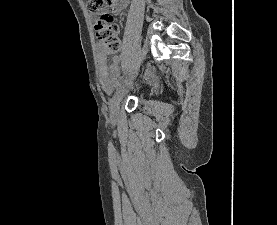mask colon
Masks as SVG:
<instances>
[{"label":"colon","instance_id":"colon-1","mask_svg":"<svg viewBox=\"0 0 277 225\" xmlns=\"http://www.w3.org/2000/svg\"><path fill=\"white\" fill-rule=\"evenodd\" d=\"M117 0H85L86 6L100 14V21L96 26L97 38L102 42L106 54H113L120 49L118 37L119 26L114 22L111 12L113 3Z\"/></svg>","mask_w":277,"mask_h":225}]
</instances>
